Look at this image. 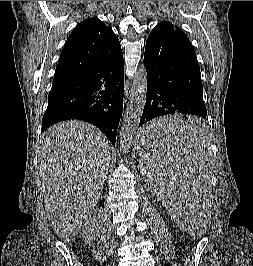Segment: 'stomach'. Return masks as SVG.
Wrapping results in <instances>:
<instances>
[{
    "mask_svg": "<svg viewBox=\"0 0 253 266\" xmlns=\"http://www.w3.org/2000/svg\"><path fill=\"white\" fill-rule=\"evenodd\" d=\"M139 138H144V132H142V130L138 134V143H139Z\"/></svg>",
    "mask_w": 253,
    "mask_h": 266,
    "instance_id": "0dacf381",
    "label": "stomach"
}]
</instances>
